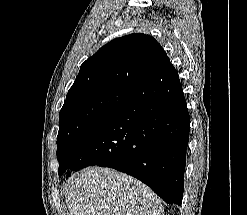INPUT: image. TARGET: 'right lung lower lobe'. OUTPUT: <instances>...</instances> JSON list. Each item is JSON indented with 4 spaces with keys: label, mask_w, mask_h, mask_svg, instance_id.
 <instances>
[{
    "label": "right lung lower lobe",
    "mask_w": 247,
    "mask_h": 215,
    "mask_svg": "<svg viewBox=\"0 0 247 215\" xmlns=\"http://www.w3.org/2000/svg\"><path fill=\"white\" fill-rule=\"evenodd\" d=\"M189 129L179 75L167 59L78 140L66 178L90 165L110 167L141 180L166 203L181 205Z\"/></svg>",
    "instance_id": "1"
}]
</instances>
